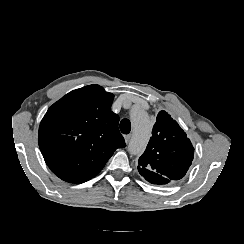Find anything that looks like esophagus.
Wrapping results in <instances>:
<instances>
[{
    "mask_svg": "<svg viewBox=\"0 0 244 244\" xmlns=\"http://www.w3.org/2000/svg\"><path fill=\"white\" fill-rule=\"evenodd\" d=\"M124 138H125V142H126L127 144H129L130 141H131L132 135H131V134H128V135H126Z\"/></svg>",
    "mask_w": 244,
    "mask_h": 244,
    "instance_id": "esophagus-1",
    "label": "esophagus"
}]
</instances>
